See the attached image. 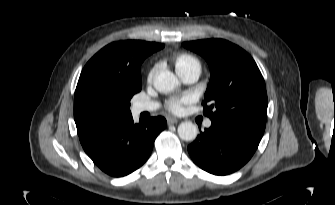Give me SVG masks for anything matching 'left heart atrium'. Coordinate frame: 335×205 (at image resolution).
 Wrapping results in <instances>:
<instances>
[{"instance_id":"1","label":"left heart atrium","mask_w":335,"mask_h":205,"mask_svg":"<svg viewBox=\"0 0 335 205\" xmlns=\"http://www.w3.org/2000/svg\"><path fill=\"white\" fill-rule=\"evenodd\" d=\"M191 102L190 96H183L181 98H173L168 102V108L173 113H181L183 111V106Z\"/></svg>"}]
</instances>
